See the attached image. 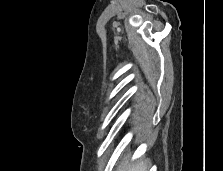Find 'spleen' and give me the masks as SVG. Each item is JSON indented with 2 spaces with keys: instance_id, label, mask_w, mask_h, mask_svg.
Wrapping results in <instances>:
<instances>
[{
  "instance_id": "3e777b00",
  "label": "spleen",
  "mask_w": 223,
  "mask_h": 171,
  "mask_svg": "<svg viewBox=\"0 0 223 171\" xmlns=\"http://www.w3.org/2000/svg\"><path fill=\"white\" fill-rule=\"evenodd\" d=\"M128 169V160L125 159L118 166L116 171H126ZM128 171H148V164L145 160H140L134 165H132Z\"/></svg>"
}]
</instances>
